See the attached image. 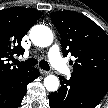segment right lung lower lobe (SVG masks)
<instances>
[{
  "label": "right lung lower lobe",
  "mask_w": 108,
  "mask_h": 108,
  "mask_svg": "<svg viewBox=\"0 0 108 108\" xmlns=\"http://www.w3.org/2000/svg\"><path fill=\"white\" fill-rule=\"evenodd\" d=\"M39 76V70L29 68L24 74L0 82V108H17L26 94L27 84Z\"/></svg>",
  "instance_id": "98d812e1"
}]
</instances>
